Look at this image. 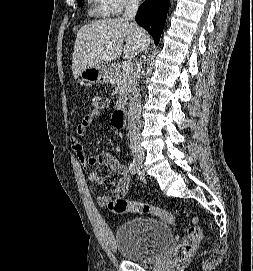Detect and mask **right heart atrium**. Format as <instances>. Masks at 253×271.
<instances>
[{
  "label": "right heart atrium",
  "instance_id": "d8ad5b80",
  "mask_svg": "<svg viewBox=\"0 0 253 271\" xmlns=\"http://www.w3.org/2000/svg\"><path fill=\"white\" fill-rule=\"evenodd\" d=\"M112 13H120L124 8L138 4L140 0H102Z\"/></svg>",
  "mask_w": 253,
  "mask_h": 271
}]
</instances>
